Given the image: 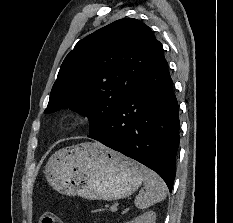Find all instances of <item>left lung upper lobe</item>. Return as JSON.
Listing matches in <instances>:
<instances>
[{"instance_id": "5c2ea615", "label": "left lung upper lobe", "mask_w": 233, "mask_h": 223, "mask_svg": "<svg viewBox=\"0 0 233 223\" xmlns=\"http://www.w3.org/2000/svg\"><path fill=\"white\" fill-rule=\"evenodd\" d=\"M161 43L143 22L117 20L80 40L63 61L45 113L70 108L98 133L130 97Z\"/></svg>"}]
</instances>
